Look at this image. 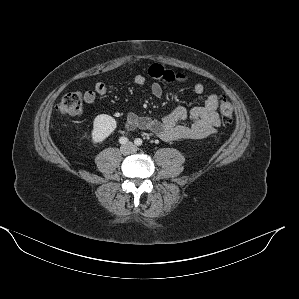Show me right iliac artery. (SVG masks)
Instances as JSON below:
<instances>
[{
	"label": "right iliac artery",
	"instance_id": "right-iliac-artery-1",
	"mask_svg": "<svg viewBox=\"0 0 299 299\" xmlns=\"http://www.w3.org/2000/svg\"><path fill=\"white\" fill-rule=\"evenodd\" d=\"M119 142H120V144H126L128 142V138H126L124 136L120 137Z\"/></svg>",
	"mask_w": 299,
	"mask_h": 299
}]
</instances>
